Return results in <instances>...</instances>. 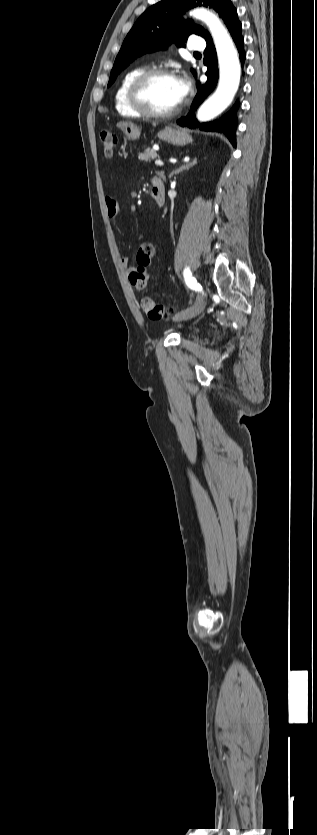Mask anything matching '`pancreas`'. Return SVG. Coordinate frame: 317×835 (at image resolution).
<instances>
[{"label":"pancreas","instance_id":"obj_1","mask_svg":"<svg viewBox=\"0 0 317 835\" xmlns=\"http://www.w3.org/2000/svg\"><path fill=\"white\" fill-rule=\"evenodd\" d=\"M157 152L153 149H146L145 152L139 153L138 158L142 161L148 162L157 158Z\"/></svg>","mask_w":317,"mask_h":835}]
</instances>
